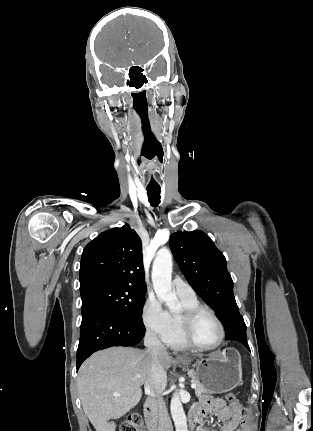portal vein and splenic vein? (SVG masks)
<instances>
[{
	"label": "portal vein and splenic vein",
	"instance_id": "portal-vein-and-splenic-vein-1",
	"mask_svg": "<svg viewBox=\"0 0 313 431\" xmlns=\"http://www.w3.org/2000/svg\"><path fill=\"white\" fill-rule=\"evenodd\" d=\"M196 384L194 383V382H192V384H191V388H193V389H195L196 388Z\"/></svg>",
	"mask_w": 313,
	"mask_h": 431
}]
</instances>
